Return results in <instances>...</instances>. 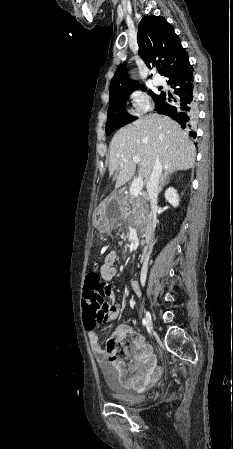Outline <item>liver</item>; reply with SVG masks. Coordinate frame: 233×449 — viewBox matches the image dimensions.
<instances>
[{
  "label": "liver",
  "instance_id": "obj_1",
  "mask_svg": "<svg viewBox=\"0 0 233 449\" xmlns=\"http://www.w3.org/2000/svg\"><path fill=\"white\" fill-rule=\"evenodd\" d=\"M109 172L118 171L115 188L135 174L133 156L140 157L139 177L149 180L155 160L160 159L165 171L174 172L194 167L195 146L180 125L159 114L142 117L117 131L109 146Z\"/></svg>",
  "mask_w": 233,
  "mask_h": 449
}]
</instances>
